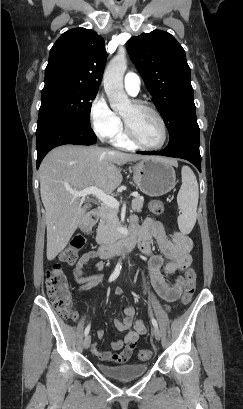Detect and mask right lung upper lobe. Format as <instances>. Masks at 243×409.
Returning a JSON list of instances; mask_svg holds the SVG:
<instances>
[{
    "instance_id": "right-lung-upper-lobe-1",
    "label": "right lung upper lobe",
    "mask_w": 243,
    "mask_h": 409,
    "mask_svg": "<svg viewBox=\"0 0 243 409\" xmlns=\"http://www.w3.org/2000/svg\"><path fill=\"white\" fill-rule=\"evenodd\" d=\"M106 62L103 38L93 30L63 33L50 50L45 81L61 80L98 90Z\"/></svg>"
}]
</instances>
